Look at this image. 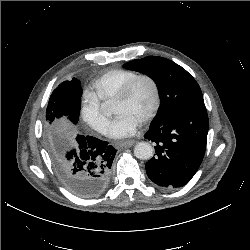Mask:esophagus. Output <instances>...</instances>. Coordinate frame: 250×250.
Segmentation results:
<instances>
[{
	"instance_id": "esophagus-1",
	"label": "esophagus",
	"mask_w": 250,
	"mask_h": 250,
	"mask_svg": "<svg viewBox=\"0 0 250 250\" xmlns=\"http://www.w3.org/2000/svg\"><path fill=\"white\" fill-rule=\"evenodd\" d=\"M134 144H135V141L130 140V141H125V142H122V143H118L116 146L117 147H131Z\"/></svg>"
}]
</instances>
